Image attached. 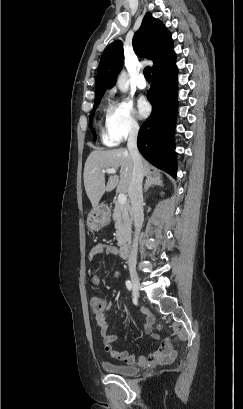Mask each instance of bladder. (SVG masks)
Instances as JSON below:
<instances>
[{"label":"bladder","instance_id":"obj_1","mask_svg":"<svg viewBox=\"0 0 243 409\" xmlns=\"http://www.w3.org/2000/svg\"><path fill=\"white\" fill-rule=\"evenodd\" d=\"M101 366L110 374L119 376H135L140 372L138 365H124L120 363L106 362Z\"/></svg>","mask_w":243,"mask_h":409}]
</instances>
